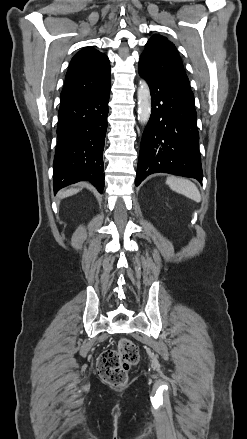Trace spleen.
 <instances>
[{"instance_id": "obj_1", "label": "spleen", "mask_w": 247, "mask_h": 439, "mask_svg": "<svg viewBox=\"0 0 247 439\" xmlns=\"http://www.w3.org/2000/svg\"><path fill=\"white\" fill-rule=\"evenodd\" d=\"M166 184L175 192L182 194L195 202L201 201V195L197 186L188 179L170 176Z\"/></svg>"}]
</instances>
